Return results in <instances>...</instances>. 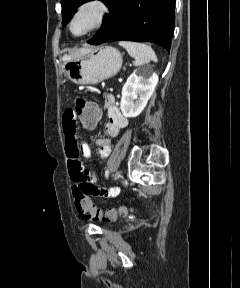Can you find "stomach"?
<instances>
[{
  "instance_id": "obj_1",
  "label": "stomach",
  "mask_w": 240,
  "mask_h": 288,
  "mask_svg": "<svg viewBox=\"0 0 240 288\" xmlns=\"http://www.w3.org/2000/svg\"><path fill=\"white\" fill-rule=\"evenodd\" d=\"M122 66L121 53L114 47L86 49L63 63L65 77L76 84H97L116 75Z\"/></svg>"
}]
</instances>
